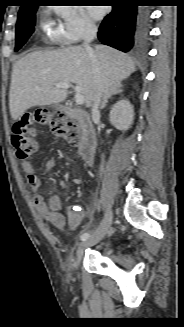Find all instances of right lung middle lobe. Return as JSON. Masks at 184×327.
<instances>
[{"instance_id": "obj_1", "label": "right lung middle lobe", "mask_w": 184, "mask_h": 327, "mask_svg": "<svg viewBox=\"0 0 184 327\" xmlns=\"http://www.w3.org/2000/svg\"><path fill=\"white\" fill-rule=\"evenodd\" d=\"M36 10L37 6L19 12L16 24L15 51H18L34 32Z\"/></svg>"}]
</instances>
